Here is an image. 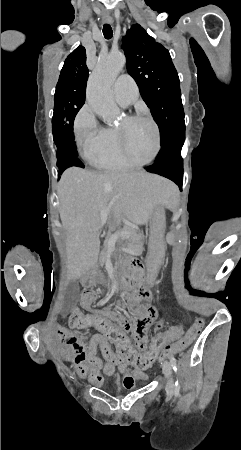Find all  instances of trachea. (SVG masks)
Instances as JSON below:
<instances>
[{
	"label": "trachea",
	"instance_id": "1",
	"mask_svg": "<svg viewBox=\"0 0 241 450\" xmlns=\"http://www.w3.org/2000/svg\"><path fill=\"white\" fill-rule=\"evenodd\" d=\"M103 35L107 40H110V38H112L113 30L108 23L103 26Z\"/></svg>",
	"mask_w": 241,
	"mask_h": 450
}]
</instances>
